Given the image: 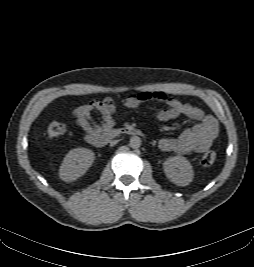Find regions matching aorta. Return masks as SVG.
Masks as SVG:
<instances>
[{"mask_svg":"<svg viewBox=\"0 0 254 267\" xmlns=\"http://www.w3.org/2000/svg\"><path fill=\"white\" fill-rule=\"evenodd\" d=\"M129 146L133 149H137L141 146V138L138 136H132L129 141Z\"/></svg>","mask_w":254,"mask_h":267,"instance_id":"obj_1","label":"aorta"}]
</instances>
